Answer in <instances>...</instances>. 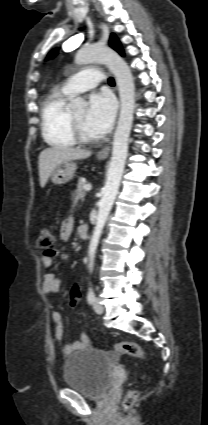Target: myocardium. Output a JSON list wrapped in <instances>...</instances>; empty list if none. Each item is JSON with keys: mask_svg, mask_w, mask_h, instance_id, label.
<instances>
[{"mask_svg": "<svg viewBox=\"0 0 208 425\" xmlns=\"http://www.w3.org/2000/svg\"><path fill=\"white\" fill-rule=\"evenodd\" d=\"M70 124H71L72 134L77 142L81 144H92L96 141V138H90L85 135V133L83 132L80 126V123L71 112H70Z\"/></svg>", "mask_w": 208, "mask_h": 425, "instance_id": "obj_1", "label": "myocardium"}]
</instances>
